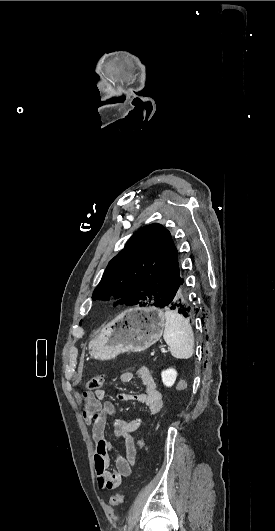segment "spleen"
<instances>
[{"instance_id":"1","label":"spleen","mask_w":275,"mask_h":531,"mask_svg":"<svg viewBox=\"0 0 275 531\" xmlns=\"http://www.w3.org/2000/svg\"><path fill=\"white\" fill-rule=\"evenodd\" d=\"M165 343L170 347L172 357L190 359L194 349V335L190 321L177 311L167 309L165 313Z\"/></svg>"}]
</instances>
